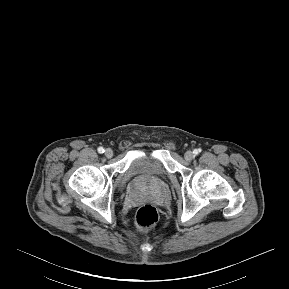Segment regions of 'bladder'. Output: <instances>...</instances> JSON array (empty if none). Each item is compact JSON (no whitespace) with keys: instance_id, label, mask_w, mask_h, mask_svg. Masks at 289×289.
<instances>
[{"instance_id":"1","label":"bladder","mask_w":289,"mask_h":289,"mask_svg":"<svg viewBox=\"0 0 289 289\" xmlns=\"http://www.w3.org/2000/svg\"><path fill=\"white\" fill-rule=\"evenodd\" d=\"M166 174L160 161L149 157H137L129 163L120 181V187H125L134 180L164 178Z\"/></svg>"}]
</instances>
